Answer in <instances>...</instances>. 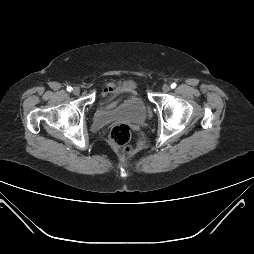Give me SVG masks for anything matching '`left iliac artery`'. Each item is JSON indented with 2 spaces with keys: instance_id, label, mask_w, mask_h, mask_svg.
Returning a JSON list of instances; mask_svg holds the SVG:
<instances>
[{
  "instance_id": "44dca946",
  "label": "left iliac artery",
  "mask_w": 254,
  "mask_h": 254,
  "mask_svg": "<svg viewBox=\"0 0 254 254\" xmlns=\"http://www.w3.org/2000/svg\"><path fill=\"white\" fill-rule=\"evenodd\" d=\"M175 87H176V83H172L171 88H175Z\"/></svg>"
}]
</instances>
